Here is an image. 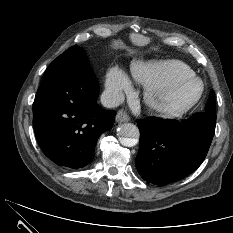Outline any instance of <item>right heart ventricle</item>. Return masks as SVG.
Returning a JSON list of instances; mask_svg holds the SVG:
<instances>
[{"instance_id":"1","label":"right heart ventricle","mask_w":233,"mask_h":233,"mask_svg":"<svg viewBox=\"0 0 233 233\" xmlns=\"http://www.w3.org/2000/svg\"><path fill=\"white\" fill-rule=\"evenodd\" d=\"M131 73L135 81L145 87L166 83L181 76L194 75L191 67L179 60L138 61L133 63Z\"/></svg>"}]
</instances>
